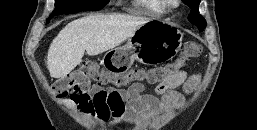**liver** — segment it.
I'll use <instances>...</instances> for the list:
<instances>
[{"instance_id": "liver-1", "label": "liver", "mask_w": 257, "mask_h": 130, "mask_svg": "<svg viewBox=\"0 0 257 130\" xmlns=\"http://www.w3.org/2000/svg\"><path fill=\"white\" fill-rule=\"evenodd\" d=\"M150 18L124 14L90 15L68 23L53 39L47 54L50 75L63 78L82 62L119 46Z\"/></svg>"}]
</instances>
